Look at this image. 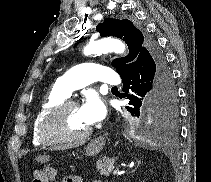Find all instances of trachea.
<instances>
[{"mask_svg": "<svg viewBox=\"0 0 211 182\" xmlns=\"http://www.w3.org/2000/svg\"><path fill=\"white\" fill-rule=\"evenodd\" d=\"M112 89H117V87H113Z\"/></svg>", "mask_w": 211, "mask_h": 182, "instance_id": "trachea-1", "label": "trachea"}]
</instances>
